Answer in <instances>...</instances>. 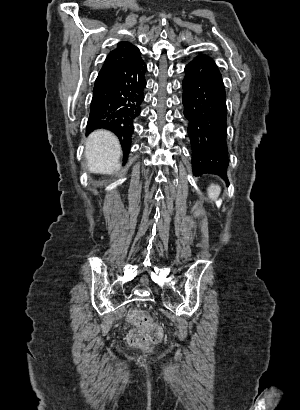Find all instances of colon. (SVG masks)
I'll use <instances>...</instances> for the list:
<instances>
[{"mask_svg":"<svg viewBox=\"0 0 300 410\" xmlns=\"http://www.w3.org/2000/svg\"><path fill=\"white\" fill-rule=\"evenodd\" d=\"M128 317L129 321L136 326L127 336L130 346L148 349L161 340L163 335L162 328L153 322L144 311L133 309Z\"/></svg>","mask_w":300,"mask_h":410,"instance_id":"obj_1","label":"colon"}]
</instances>
